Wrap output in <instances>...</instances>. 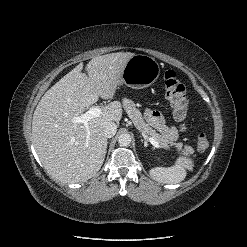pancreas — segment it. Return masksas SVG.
<instances>
[{"label": "pancreas", "mask_w": 247, "mask_h": 247, "mask_svg": "<svg viewBox=\"0 0 247 247\" xmlns=\"http://www.w3.org/2000/svg\"><path fill=\"white\" fill-rule=\"evenodd\" d=\"M123 106L129 118L132 120L134 126L146 139L148 137H152L164 148L169 149L171 147H174L178 152L182 153L185 156H189L194 152L192 147H183L182 143H175L171 141L167 136L158 134L149 124L145 122L141 112L136 108V105L132 100L125 98L123 100Z\"/></svg>", "instance_id": "pancreas-1"}]
</instances>
